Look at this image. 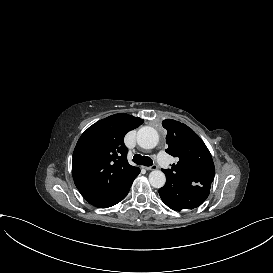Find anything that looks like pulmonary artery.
Here are the masks:
<instances>
[{"mask_svg":"<svg viewBox=\"0 0 273 273\" xmlns=\"http://www.w3.org/2000/svg\"><path fill=\"white\" fill-rule=\"evenodd\" d=\"M157 162H158L160 168H162L164 170V172H166V173L171 172L172 167H171L170 163H168L166 160L165 151H163V150L158 151Z\"/></svg>","mask_w":273,"mask_h":273,"instance_id":"e3ab8cb5","label":"pulmonary artery"}]
</instances>
